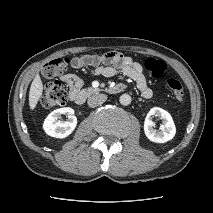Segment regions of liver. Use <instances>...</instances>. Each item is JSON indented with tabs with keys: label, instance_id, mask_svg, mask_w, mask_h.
Listing matches in <instances>:
<instances>
[{
	"label": "liver",
	"instance_id": "obj_1",
	"mask_svg": "<svg viewBox=\"0 0 213 213\" xmlns=\"http://www.w3.org/2000/svg\"><path fill=\"white\" fill-rule=\"evenodd\" d=\"M42 93H43V84L40 75L37 74L31 83L29 91V106L31 110H33L36 107L38 100L42 96Z\"/></svg>",
	"mask_w": 213,
	"mask_h": 213
}]
</instances>
